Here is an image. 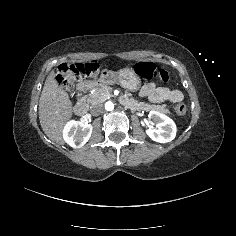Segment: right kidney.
I'll use <instances>...</instances> for the list:
<instances>
[{
    "label": "right kidney",
    "mask_w": 236,
    "mask_h": 236,
    "mask_svg": "<svg viewBox=\"0 0 236 236\" xmlns=\"http://www.w3.org/2000/svg\"><path fill=\"white\" fill-rule=\"evenodd\" d=\"M93 127L81 121H72L64 129V139L73 148L84 146L92 135Z\"/></svg>",
    "instance_id": "right-kidney-1"
}]
</instances>
